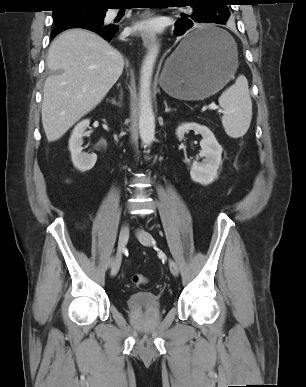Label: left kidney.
<instances>
[{"label": "left kidney", "instance_id": "5707ae66", "mask_svg": "<svg viewBox=\"0 0 306 387\" xmlns=\"http://www.w3.org/2000/svg\"><path fill=\"white\" fill-rule=\"evenodd\" d=\"M194 131L201 134V151L199 153L202 162L194 161L191 165L190 176L193 181L208 185L217 177V171L221 164L222 147L216 140L214 134L206 126L197 123H185L176 130V136L182 140L186 133Z\"/></svg>", "mask_w": 306, "mask_h": 387}]
</instances>
